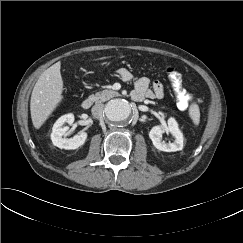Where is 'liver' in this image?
Returning <instances> with one entry per match:
<instances>
[{"label": "liver", "instance_id": "6515ba94", "mask_svg": "<svg viewBox=\"0 0 243 243\" xmlns=\"http://www.w3.org/2000/svg\"><path fill=\"white\" fill-rule=\"evenodd\" d=\"M61 63L46 69L37 80L30 100L33 126L39 129L63 100V80Z\"/></svg>", "mask_w": 243, "mask_h": 243}]
</instances>
